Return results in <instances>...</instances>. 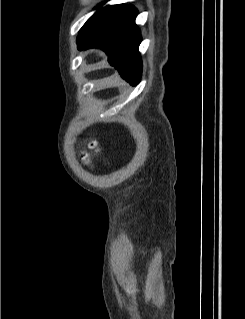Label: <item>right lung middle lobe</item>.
Segmentation results:
<instances>
[{
	"label": "right lung middle lobe",
	"instance_id": "obj_1",
	"mask_svg": "<svg viewBox=\"0 0 245 319\" xmlns=\"http://www.w3.org/2000/svg\"><path fill=\"white\" fill-rule=\"evenodd\" d=\"M123 7L122 4L120 5H113L107 6L105 8L100 9L97 11L83 26V28H91L98 24L99 22L103 21L104 19L108 18L112 14H114L117 10Z\"/></svg>",
	"mask_w": 245,
	"mask_h": 319
}]
</instances>
